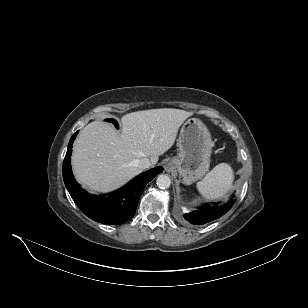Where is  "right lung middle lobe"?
Segmentation results:
<instances>
[{"instance_id": "obj_1", "label": "right lung middle lobe", "mask_w": 308, "mask_h": 308, "mask_svg": "<svg viewBox=\"0 0 308 308\" xmlns=\"http://www.w3.org/2000/svg\"><path fill=\"white\" fill-rule=\"evenodd\" d=\"M106 121H107V122H111V123H113V124H114V126H115L116 128H118V127H119V125H118L117 121H116V120H114V119L109 118V119H106Z\"/></svg>"}]
</instances>
